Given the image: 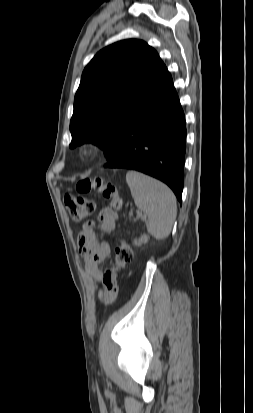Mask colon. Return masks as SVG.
Here are the masks:
<instances>
[{"mask_svg":"<svg viewBox=\"0 0 253 413\" xmlns=\"http://www.w3.org/2000/svg\"><path fill=\"white\" fill-rule=\"evenodd\" d=\"M77 195L67 194L65 196V205L70 216L75 221H81L91 216L95 210L94 202L86 197V194L93 189L102 193L109 201V205L116 211L122 208V201L117 190L101 180L84 179L77 184ZM133 258V252L126 241H121L115 250V267L120 271L128 265Z\"/></svg>","mask_w":253,"mask_h":413,"instance_id":"colon-1","label":"colon"}]
</instances>
